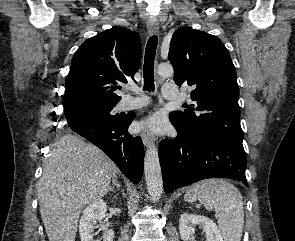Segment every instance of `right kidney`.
Listing matches in <instances>:
<instances>
[{
  "mask_svg": "<svg viewBox=\"0 0 295 241\" xmlns=\"http://www.w3.org/2000/svg\"><path fill=\"white\" fill-rule=\"evenodd\" d=\"M106 211V203L101 199H97L88 204L79 222L81 241H94V225L96 222H101L105 218ZM101 228L104 230L103 241H113V230L106 229V226L103 224Z\"/></svg>",
  "mask_w": 295,
  "mask_h": 241,
  "instance_id": "obj_1",
  "label": "right kidney"
}]
</instances>
